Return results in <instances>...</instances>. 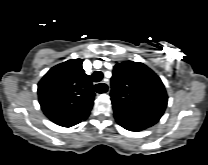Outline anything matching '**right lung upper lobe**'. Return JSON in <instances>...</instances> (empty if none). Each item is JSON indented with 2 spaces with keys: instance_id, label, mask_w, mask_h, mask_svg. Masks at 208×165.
Wrapping results in <instances>:
<instances>
[{
  "instance_id": "cb5924a9",
  "label": "right lung upper lobe",
  "mask_w": 208,
  "mask_h": 165,
  "mask_svg": "<svg viewBox=\"0 0 208 165\" xmlns=\"http://www.w3.org/2000/svg\"><path fill=\"white\" fill-rule=\"evenodd\" d=\"M82 59H71L51 68L38 83L41 109L49 120L62 127L87 119L95 93L82 68Z\"/></svg>"
}]
</instances>
